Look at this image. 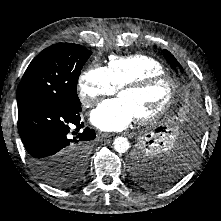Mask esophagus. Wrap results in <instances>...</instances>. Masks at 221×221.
Segmentation results:
<instances>
[{
  "mask_svg": "<svg viewBox=\"0 0 221 221\" xmlns=\"http://www.w3.org/2000/svg\"><path fill=\"white\" fill-rule=\"evenodd\" d=\"M99 136L102 137V138H108V137H110L111 135L108 134V133H99Z\"/></svg>",
  "mask_w": 221,
  "mask_h": 221,
  "instance_id": "obj_1",
  "label": "esophagus"
}]
</instances>
